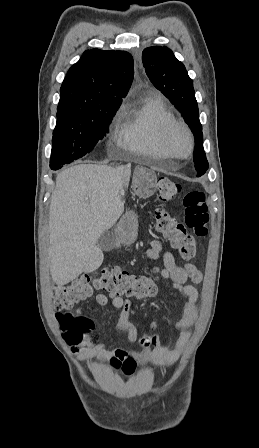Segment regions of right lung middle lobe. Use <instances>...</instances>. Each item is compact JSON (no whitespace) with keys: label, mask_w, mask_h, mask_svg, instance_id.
<instances>
[{"label":"right lung middle lobe","mask_w":259,"mask_h":448,"mask_svg":"<svg viewBox=\"0 0 259 448\" xmlns=\"http://www.w3.org/2000/svg\"><path fill=\"white\" fill-rule=\"evenodd\" d=\"M118 108L57 114L53 132L50 168L60 169L91 152L108 133V125Z\"/></svg>","instance_id":"right-lung-middle-lobe-1"}]
</instances>
